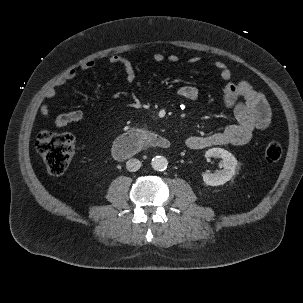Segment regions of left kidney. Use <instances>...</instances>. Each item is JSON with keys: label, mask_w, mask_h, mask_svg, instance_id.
<instances>
[{"label": "left kidney", "mask_w": 303, "mask_h": 303, "mask_svg": "<svg viewBox=\"0 0 303 303\" xmlns=\"http://www.w3.org/2000/svg\"><path fill=\"white\" fill-rule=\"evenodd\" d=\"M205 157L209 160L211 157L221 158L223 160V169L216 173L203 174V181L210 186H219L225 184L235 174L237 160L230 152L222 148H211L206 151Z\"/></svg>", "instance_id": "5707ae66"}]
</instances>
